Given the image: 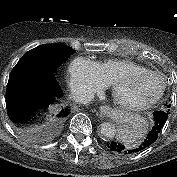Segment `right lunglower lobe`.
Masks as SVG:
<instances>
[{
    "instance_id": "98d812e1",
    "label": "right lung lower lobe",
    "mask_w": 177,
    "mask_h": 177,
    "mask_svg": "<svg viewBox=\"0 0 177 177\" xmlns=\"http://www.w3.org/2000/svg\"><path fill=\"white\" fill-rule=\"evenodd\" d=\"M63 95L56 79V70L32 59H25L14 67L7 84L6 108L17 127H26L46 112L54 128L65 119L68 109H60ZM46 116V115H45Z\"/></svg>"
}]
</instances>
